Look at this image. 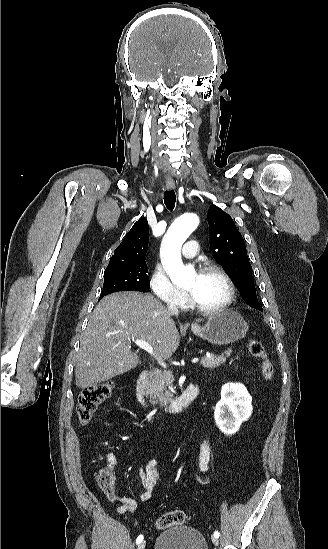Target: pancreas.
Segmentation results:
<instances>
[{
  "mask_svg": "<svg viewBox=\"0 0 328 549\" xmlns=\"http://www.w3.org/2000/svg\"><path fill=\"white\" fill-rule=\"evenodd\" d=\"M232 351L227 349L222 355H210L202 357L200 365L207 369H215L225 363L226 357H230ZM174 377L172 371H155L150 375V381L146 387V395H149L151 403H160V405H169L172 403V395L167 391V387H172Z\"/></svg>",
  "mask_w": 328,
  "mask_h": 549,
  "instance_id": "pancreas-1",
  "label": "pancreas"
}]
</instances>
